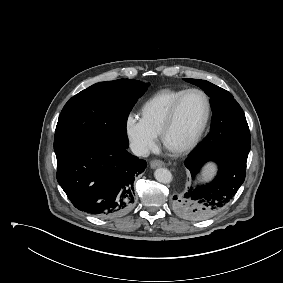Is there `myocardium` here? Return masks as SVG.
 <instances>
[{"label":"myocardium","mask_w":283,"mask_h":283,"mask_svg":"<svg viewBox=\"0 0 283 283\" xmlns=\"http://www.w3.org/2000/svg\"><path fill=\"white\" fill-rule=\"evenodd\" d=\"M191 93H198L205 100L206 113H205V116H204V120H203L198 132L196 133V135L193 137V139L190 142H188L186 145H184L180 148L171 149L166 145V136H167L168 132L170 131V129L172 128V126L175 122V119H176V116H177V113H178V110H179L181 103L183 102L185 97L188 96ZM211 112H212L211 101H210V98L205 91L198 89V88H191V89L185 90L177 98V100L173 103V105L170 108V110L167 114V117H166V119H165V121H164V123L161 127L159 137H160V141H161L162 145L174 154H184V153L191 151L199 143L203 134L205 133L207 126L209 124L210 118H211Z\"/></svg>","instance_id":"obj_1"}]
</instances>
